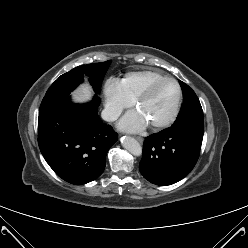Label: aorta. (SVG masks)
I'll return each mask as SVG.
<instances>
[{
  "instance_id": "1",
  "label": "aorta",
  "mask_w": 248,
  "mask_h": 248,
  "mask_svg": "<svg viewBox=\"0 0 248 248\" xmlns=\"http://www.w3.org/2000/svg\"><path fill=\"white\" fill-rule=\"evenodd\" d=\"M122 146L134 156H140L142 154V147L139 142L130 136H124L121 139Z\"/></svg>"
}]
</instances>
